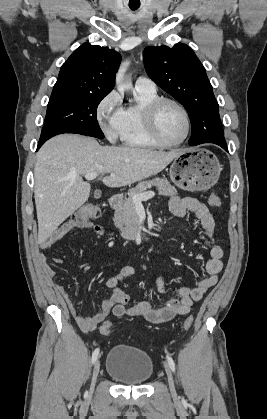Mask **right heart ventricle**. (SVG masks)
I'll list each match as a JSON object with an SVG mask.
<instances>
[{"label": "right heart ventricle", "instance_id": "1", "mask_svg": "<svg viewBox=\"0 0 267 419\" xmlns=\"http://www.w3.org/2000/svg\"><path fill=\"white\" fill-rule=\"evenodd\" d=\"M137 102L122 108L119 137L125 146L156 149L160 146L147 132L144 111L149 103L159 98L156 91L136 90Z\"/></svg>", "mask_w": 267, "mask_h": 419}]
</instances>
